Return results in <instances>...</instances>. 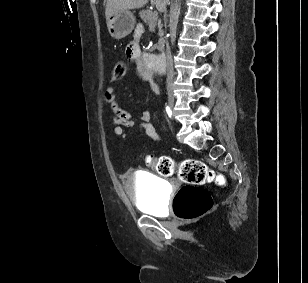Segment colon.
I'll return each instance as SVG.
<instances>
[{"label": "colon", "mask_w": 308, "mask_h": 283, "mask_svg": "<svg viewBox=\"0 0 308 283\" xmlns=\"http://www.w3.org/2000/svg\"><path fill=\"white\" fill-rule=\"evenodd\" d=\"M126 73V64L118 61L113 67V77L122 78ZM145 162L162 176L177 175L184 183L173 200V209L181 219L193 220L208 212L213 201L202 185L207 183L224 184V178L210 169L205 163L195 159L176 162L169 156H147Z\"/></svg>", "instance_id": "obj_1"}]
</instances>
